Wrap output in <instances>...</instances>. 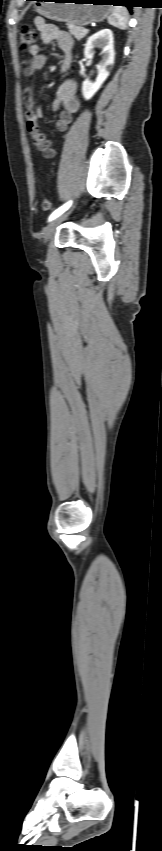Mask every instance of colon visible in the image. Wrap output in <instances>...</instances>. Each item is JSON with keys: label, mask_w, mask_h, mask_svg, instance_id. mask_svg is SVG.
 Masks as SVG:
<instances>
[{"label": "colon", "mask_w": 162, "mask_h": 851, "mask_svg": "<svg viewBox=\"0 0 162 851\" xmlns=\"http://www.w3.org/2000/svg\"><path fill=\"white\" fill-rule=\"evenodd\" d=\"M36 41L37 33L32 27H21L19 32V46L22 49L29 50L33 45H35ZM42 208L44 210H49L51 208V201L48 198H43Z\"/></svg>", "instance_id": "obj_1"}]
</instances>
